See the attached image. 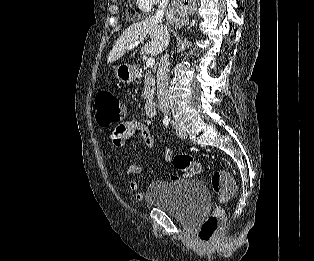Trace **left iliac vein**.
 I'll use <instances>...</instances> for the list:
<instances>
[{
    "mask_svg": "<svg viewBox=\"0 0 314 261\" xmlns=\"http://www.w3.org/2000/svg\"><path fill=\"white\" fill-rule=\"evenodd\" d=\"M175 131L179 137L184 138V139L187 138V132L183 127L176 125Z\"/></svg>",
    "mask_w": 314,
    "mask_h": 261,
    "instance_id": "obj_1",
    "label": "left iliac vein"
}]
</instances>
